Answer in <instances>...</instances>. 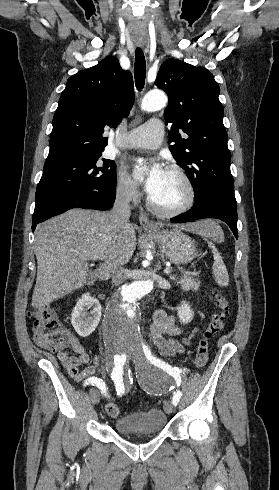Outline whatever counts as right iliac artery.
<instances>
[{
  "label": "right iliac artery",
  "instance_id": "obj_1",
  "mask_svg": "<svg viewBox=\"0 0 279 490\" xmlns=\"http://www.w3.org/2000/svg\"><path fill=\"white\" fill-rule=\"evenodd\" d=\"M111 358H112V363L115 366L113 368L111 378L114 380L116 384L115 389L119 393V396L123 397L124 393L122 392V390L124 389L123 386L124 381L120 378V376L122 374V368L125 364V359L127 358V355L124 352L121 353L113 352ZM82 383L88 387H92L93 385L97 386L101 390V393L104 395H106L107 393V388L105 386V383L102 381V378L100 376H95V377L92 376L90 377V379L87 378ZM81 388L83 389L84 387L82 386Z\"/></svg>",
  "mask_w": 279,
  "mask_h": 490
}]
</instances>
